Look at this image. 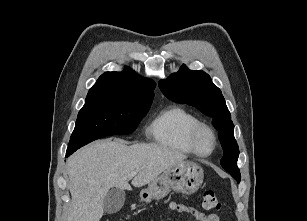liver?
<instances>
[{
  "label": "liver",
  "instance_id": "1",
  "mask_svg": "<svg viewBox=\"0 0 307 221\" xmlns=\"http://www.w3.org/2000/svg\"><path fill=\"white\" fill-rule=\"evenodd\" d=\"M187 157L157 144L126 145L122 140L96 141L67 160L71 205L68 221H100L110 188L129 190L128 174L137 172L134 187H142Z\"/></svg>",
  "mask_w": 307,
  "mask_h": 221
}]
</instances>
